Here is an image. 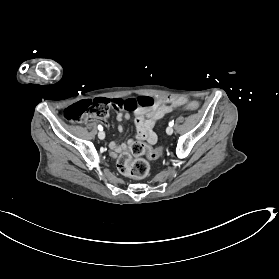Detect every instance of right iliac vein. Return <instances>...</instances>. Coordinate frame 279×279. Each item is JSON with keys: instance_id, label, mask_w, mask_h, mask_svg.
<instances>
[{"instance_id": "63e3f726", "label": "right iliac vein", "mask_w": 279, "mask_h": 279, "mask_svg": "<svg viewBox=\"0 0 279 279\" xmlns=\"http://www.w3.org/2000/svg\"><path fill=\"white\" fill-rule=\"evenodd\" d=\"M98 137H99V139L103 140L105 138V133L103 131H100L98 133Z\"/></svg>"}]
</instances>
